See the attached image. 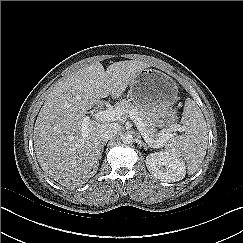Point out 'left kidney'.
I'll return each mask as SVG.
<instances>
[{"label":"left kidney","instance_id":"left-kidney-1","mask_svg":"<svg viewBox=\"0 0 243 243\" xmlns=\"http://www.w3.org/2000/svg\"><path fill=\"white\" fill-rule=\"evenodd\" d=\"M145 162L149 172L161 181L175 182L185 177L186 165L180 157L158 152L148 155Z\"/></svg>","mask_w":243,"mask_h":243}]
</instances>
